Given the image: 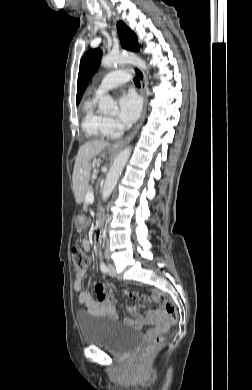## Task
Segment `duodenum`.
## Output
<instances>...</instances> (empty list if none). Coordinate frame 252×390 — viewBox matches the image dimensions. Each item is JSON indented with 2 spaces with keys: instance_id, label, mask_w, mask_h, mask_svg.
<instances>
[{
  "instance_id": "duodenum-1",
  "label": "duodenum",
  "mask_w": 252,
  "mask_h": 390,
  "mask_svg": "<svg viewBox=\"0 0 252 390\" xmlns=\"http://www.w3.org/2000/svg\"><path fill=\"white\" fill-rule=\"evenodd\" d=\"M104 230H105V215L101 214L99 218V227L96 230L94 234V240L95 241H101L104 236Z\"/></svg>"
}]
</instances>
